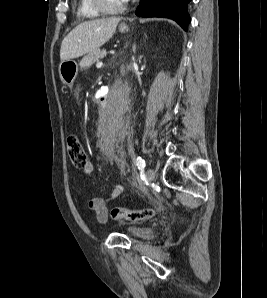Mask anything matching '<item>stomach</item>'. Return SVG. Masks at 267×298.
<instances>
[{"label": "stomach", "mask_w": 267, "mask_h": 298, "mask_svg": "<svg viewBox=\"0 0 267 298\" xmlns=\"http://www.w3.org/2000/svg\"><path fill=\"white\" fill-rule=\"evenodd\" d=\"M119 31L126 33L129 31V27L126 25H120ZM78 73V64L74 60L63 61L59 65V75L61 81L66 85H72Z\"/></svg>", "instance_id": "stomach-1"}]
</instances>
